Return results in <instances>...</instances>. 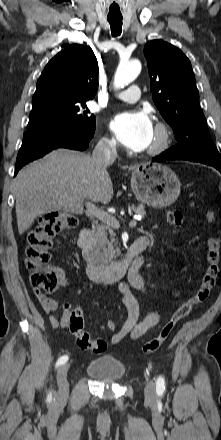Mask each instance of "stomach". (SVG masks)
<instances>
[{
  "label": "stomach",
  "mask_w": 221,
  "mask_h": 440,
  "mask_svg": "<svg viewBox=\"0 0 221 440\" xmlns=\"http://www.w3.org/2000/svg\"><path fill=\"white\" fill-rule=\"evenodd\" d=\"M132 190L142 203L155 208L170 206L180 194L176 173L160 163L137 165L131 175Z\"/></svg>",
  "instance_id": "stomach-1"
}]
</instances>
